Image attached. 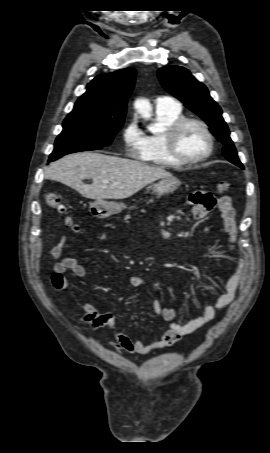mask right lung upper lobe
Wrapping results in <instances>:
<instances>
[{
  "label": "right lung upper lobe",
  "instance_id": "1",
  "mask_svg": "<svg viewBox=\"0 0 270 453\" xmlns=\"http://www.w3.org/2000/svg\"><path fill=\"white\" fill-rule=\"evenodd\" d=\"M136 71L125 68L113 73L100 74L88 85L76 101L69 116L94 115L116 122H124L127 100L133 90Z\"/></svg>",
  "mask_w": 270,
  "mask_h": 453
}]
</instances>
